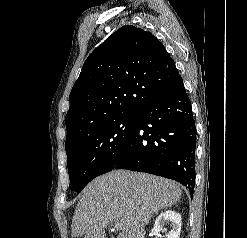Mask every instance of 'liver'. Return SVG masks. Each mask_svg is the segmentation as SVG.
<instances>
[{
  "label": "liver",
  "instance_id": "1",
  "mask_svg": "<svg viewBox=\"0 0 247 238\" xmlns=\"http://www.w3.org/2000/svg\"><path fill=\"white\" fill-rule=\"evenodd\" d=\"M171 180L146 173L113 170L82 191L72 219V237L106 238L109 223H121L117 238H144V226L159 210L180 200Z\"/></svg>",
  "mask_w": 247,
  "mask_h": 238
}]
</instances>
